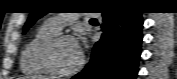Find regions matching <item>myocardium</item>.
I'll return each instance as SVG.
<instances>
[{
    "mask_svg": "<svg viewBox=\"0 0 177 79\" xmlns=\"http://www.w3.org/2000/svg\"><path fill=\"white\" fill-rule=\"evenodd\" d=\"M65 40H71L77 43L75 37L70 34H57L54 37L46 40L39 48L38 51L39 62L43 66V68L52 75L63 76V77L71 76L79 72L85 63L84 55L82 52H80L81 54L80 61L78 65L73 69L67 71H61L53 65L51 59V52L54 47H56L59 43Z\"/></svg>",
    "mask_w": 177,
    "mask_h": 79,
    "instance_id": "f54148a6",
    "label": "myocardium"
}]
</instances>
